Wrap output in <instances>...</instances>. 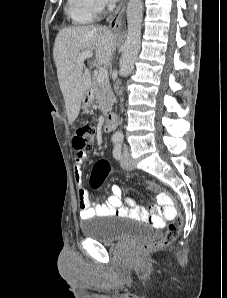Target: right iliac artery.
<instances>
[{"mask_svg": "<svg viewBox=\"0 0 227 298\" xmlns=\"http://www.w3.org/2000/svg\"><path fill=\"white\" fill-rule=\"evenodd\" d=\"M112 140L114 143H118L121 139L119 137L115 136V137H113Z\"/></svg>", "mask_w": 227, "mask_h": 298, "instance_id": "82829eb1", "label": "right iliac artery"}]
</instances>
